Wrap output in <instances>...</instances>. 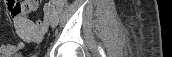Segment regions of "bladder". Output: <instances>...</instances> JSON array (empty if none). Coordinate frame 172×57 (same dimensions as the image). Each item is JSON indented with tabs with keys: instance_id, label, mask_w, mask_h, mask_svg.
I'll use <instances>...</instances> for the list:
<instances>
[{
	"instance_id": "1",
	"label": "bladder",
	"mask_w": 172,
	"mask_h": 57,
	"mask_svg": "<svg viewBox=\"0 0 172 57\" xmlns=\"http://www.w3.org/2000/svg\"><path fill=\"white\" fill-rule=\"evenodd\" d=\"M12 57H21V56H19V55H13Z\"/></svg>"
}]
</instances>
